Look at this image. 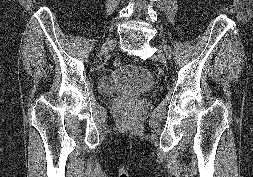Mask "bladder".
Instances as JSON below:
<instances>
[{"label":"bladder","instance_id":"31cf9c89","mask_svg":"<svg viewBox=\"0 0 253 177\" xmlns=\"http://www.w3.org/2000/svg\"><path fill=\"white\" fill-rule=\"evenodd\" d=\"M155 82L149 71L139 65H120L100 77L98 90L101 94L140 93L152 89Z\"/></svg>","mask_w":253,"mask_h":177}]
</instances>
